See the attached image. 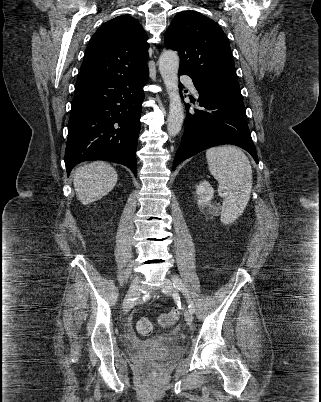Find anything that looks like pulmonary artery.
Here are the masks:
<instances>
[{"label":"pulmonary artery","instance_id":"1","mask_svg":"<svg viewBox=\"0 0 321 402\" xmlns=\"http://www.w3.org/2000/svg\"><path fill=\"white\" fill-rule=\"evenodd\" d=\"M180 82L189 86L191 92L197 93L195 86L193 85L192 78L188 75H182L180 77Z\"/></svg>","mask_w":321,"mask_h":402}]
</instances>
